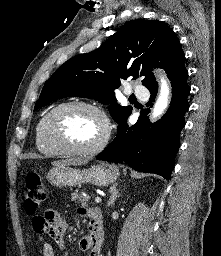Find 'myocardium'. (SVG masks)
<instances>
[{"instance_id":"f54148a6","label":"myocardium","mask_w":221,"mask_h":256,"mask_svg":"<svg viewBox=\"0 0 221 256\" xmlns=\"http://www.w3.org/2000/svg\"><path fill=\"white\" fill-rule=\"evenodd\" d=\"M71 108H82L87 109L95 114H97L104 125V133L100 140L95 143L94 145L90 147L85 148H79V147H73L65 143L64 141L55 138L51 133V125L53 122V119L56 117L57 114L60 112L71 109ZM111 134V126L110 121L104 112L99 106L85 102V101H70L66 103L59 104L58 106L54 107L50 112H48L42 121V127H41V135L43 141L50 147L58 150L61 154L65 155H71V156H88V155H94L101 150H103L109 139Z\"/></svg>"}]
</instances>
